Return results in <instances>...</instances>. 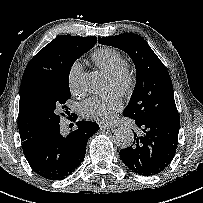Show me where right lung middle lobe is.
Listing matches in <instances>:
<instances>
[{
	"instance_id": "dd1d6c3e",
	"label": "right lung middle lobe",
	"mask_w": 203,
	"mask_h": 203,
	"mask_svg": "<svg viewBox=\"0 0 203 203\" xmlns=\"http://www.w3.org/2000/svg\"><path fill=\"white\" fill-rule=\"evenodd\" d=\"M89 49L91 47L68 53L53 70L32 80L29 93L30 104L46 126L52 128L60 123L59 111L64 110L68 114L65 102L71 96L68 83L70 69L74 61Z\"/></svg>"
}]
</instances>
